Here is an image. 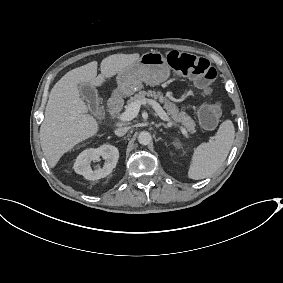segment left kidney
<instances>
[{
    "label": "left kidney",
    "mask_w": 283,
    "mask_h": 283,
    "mask_svg": "<svg viewBox=\"0 0 283 283\" xmlns=\"http://www.w3.org/2000/svg\"><path fill=\"white\" fill-rule=\"evenodd\" d=\"M174 146H178V144H177V143H174Z\"/></svg>",
    "instance_id": "obj_1"
}]
</instances>
